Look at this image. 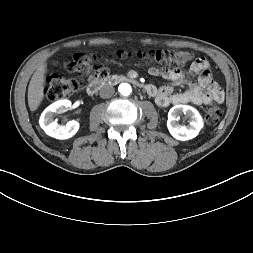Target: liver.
<instances>
[{"mask_svg": "<svg viewBox=\"0 0 253 253\" xmlns=\"http://www.w3.org/2000/svg\"><path fill=\"white\" fill-rule=\"evenodd\" d=\"M47 64L42 63L34 72L28 86V106L33 112L38 109L44 98Z\"/></svg>", "mask_w": 253, "mask_h": 253, "instance_id": "liver-1", "label": "liver"}]
</instances>
